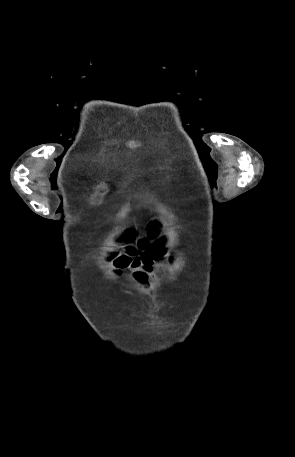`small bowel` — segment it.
<instances>
[{
  "instance_id": "obj_1",
  "label": "small bowel",
  "mask_w": 295,
  "mask_h": 457,
  "mask_svg": "<svg viewBox=\"0 0 295 457\" xmlns=\"http://www.w3.org/2000/svg\"><path fill=\"white\" fill-rule=\"evenodd\" d=\"M159 223L152 221L149 225V232L153 237L158 235ZM140 246L144 249L143 254L133 255L134 265H132V276L133 278L144 284L149 279L154 278L155 274L163 273L168 269V265L161 262V258L165 254V243L163 240H156L149 243L143 239L140 242ZM134 252V247H129L128 251Z\"/></svg>"
}]
</instances>
